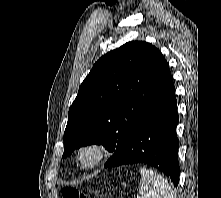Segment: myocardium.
Listing matches in <instances>:
<instances>
[{
    "label": "myocardium",
    "instance_id": "f54148a6",
    "mask_svg": "<svg viewBox=\"0 0 221 198\" xmlns=\"http://www.w3.org/2000/svg\"><path fill=\"white\" fill-rule=\"evenodd\" d=\"M108 153L109 148L106 143L89 141L78 147L75 159L82 169H93L103 163Z\"/></svg>",
    "mask_w": 221,
    "mask_h": 198
}]
</instances>
